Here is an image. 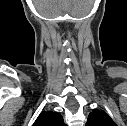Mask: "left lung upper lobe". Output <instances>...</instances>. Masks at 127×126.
Segmentation results:
<instances>
[{
	"mask_svg": "<svg viewBox=\"0 0 127 126\" xmlns=\"http://www.w3.org/2000/svg\"><path fill=\"white\" fill-rule=\"evenodd\" d=\"M86 126H117L104 110H93L89 116Z\"/></svg>",
	"mask_w": 127,
	"mask_h": 126,
	"instance_id": "left-lung-upper-lobe-1",
	"label": "left lung upper lobe"
}]
</instances>
